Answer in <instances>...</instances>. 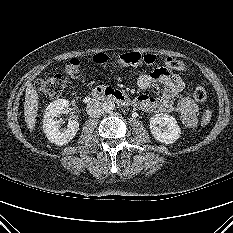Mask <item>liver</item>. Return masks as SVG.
Masks as SVG:
<instances>
[{
  "mask_svg": "<svg viewBox=\"0 0 233 233\" xmlns=\"http://www.w3.org/2000/svg\"><path fill=\"white\" fill-rule=\"evenodd\" d=\"M39 96L32 84L26 88L25 103H24V117L27 128L30 132L33 131L36 124V117L39 105Z\"/></svg>",
  "mask_w": 233,
  "mask_h": 233,
  "instance_id": "1",
  "label": "liver"
}]
</instances>
